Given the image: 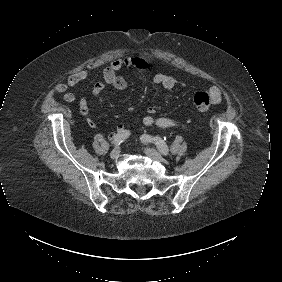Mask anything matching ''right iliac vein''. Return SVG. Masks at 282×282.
Segmentation results:
<instances>
[{
  "mask_svg": "<svg viewBox=\"0 0 282 282\" xmlns=\"http://www.w3.org/2000/svg\"><path fill=\"white\" fill-rule=\"evenodd\" d=\"M119 156H120V148L116 147L112 150L110 157H111V159L114 160V159H117Z\"/></svg>",
  "mask_w": 282,
  "mask_h": 282,
  "instance_id": "obj_1",
  "label": "right iliac vein"
}]
</instances>
